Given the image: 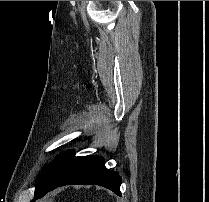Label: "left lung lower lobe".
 Here are the masks:
<instances>
[{
    "instance_id": "obj_1",
    "label": "left lung lower lobe",
    "mask_w": 209,
    "mask_h": 202,
    "mask_svg": "<svg viewBox=\"0 0 209 202\" xmlns=\"http://www.w3.org/2000/svg\"><path fill=\"white\" fill-rule=\"evenodd\" d=\"M70 184L99 185L121 196V177L105 167L103 158L92 155L74 157V152L69 150L53 160L43 181L35 190L33 201L42 198L49 191Z\"/></svg>"
}]
</instances>
